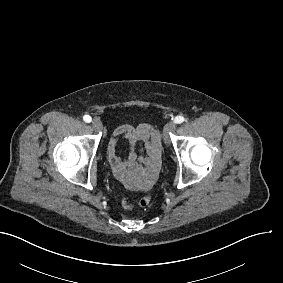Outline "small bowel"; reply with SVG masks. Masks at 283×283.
<instances>
[{
    "mask_svg": "<svg viewBox=\"0 0 283 283\" xmlns=\"http://www.w3.org/2000/svg\"><path fill=\"white\" fill-rule=\"evenodd\" d=\"M122 139L128 140L132 145L137 143L145 145L148 157L145 154H140L138 161L141 165L148 164V168L135 182H147L152 185L157 179L158 170L161 165V137L159 131L147 123L137 126L124 124L114 129L112 139L107 148L108 160L116 179L126 186L127 183L133 181L130 170L134 175H139L141 173V167L136 163L137 156L135 154H130L128 161L122 160L118 156L117 143Z\"/></svg>",
    "mask_w": 283,
    "mask_h": 283,
    "instance_id": "1",
    "label": "small bowel"
}]
</instances>
